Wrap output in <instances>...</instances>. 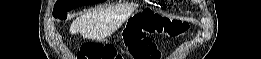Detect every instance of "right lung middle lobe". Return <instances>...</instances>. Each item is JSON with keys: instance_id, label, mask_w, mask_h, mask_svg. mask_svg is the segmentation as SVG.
<instances>
[{"instance_id": "1", "label": "right lung middle lobe", "mask_w": 261, "mask_h": 59, "mask_svg": "<svg viewBox=\"0 0 261 59\" xmlns=\"http://www.w3.org/2000/svg\"><path fill=\"white\" fill-rule=\"evenodd\" d=\"M104 0H58L53 9V16L59 19H66L67 12L80 5H91L101 3Z\"/></svg>"}]
</instances>
